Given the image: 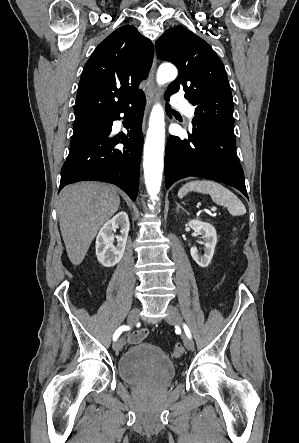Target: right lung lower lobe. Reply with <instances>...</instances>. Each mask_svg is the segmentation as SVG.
I'll use <instances>...</instances> for the list:
<instances>
[{
	"label": "right lung lower lobe",
	"mask_w": 299,
	"mask_h": 443,
	"mask_svg": "<svg viewBox=\"0 0 299 443\" xmlns=\"http://www.w3.org/2000/svg\"><path fill=\"white\" fill-rule=\"evenodd\" d=\"M145 94H140L131 104L101 116L104 131L99 132L71 149L61 169L60 188L84 181L95 180L117 185L132 200L139 189L140 157L143 146L142 117ZM124 113L128 134L111 136L114 120ZM123 144V147H116ZM60 191V190H59Z\"/></svg>",
	"instance_id": "right-lung-lower-lobe-1"
}]
</instances>
